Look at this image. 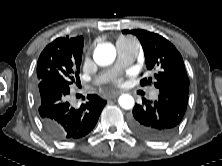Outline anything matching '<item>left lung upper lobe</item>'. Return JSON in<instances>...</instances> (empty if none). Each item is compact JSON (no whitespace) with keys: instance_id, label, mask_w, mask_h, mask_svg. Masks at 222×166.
<instances>
[{"instance_id":"5c2ea615","label":"left lung upper lobe","mask_w":222,"mask_h":166,"mask_svg":"<svg viewBox=\"0 0 222 166\" xmlns=\"http://www.w3.org/2000/svg\"><path fill=\"white\" fill-rule=\"evenodd\" d=\"M123 33H131L140 40L147 68L156 71L155 87L160 88L167 83L189 86L182 56L172 43L158 34L142 29L124 30ZM151 82V78H143L140 84L144 86Z\"/></svg>"}]
</instances>
